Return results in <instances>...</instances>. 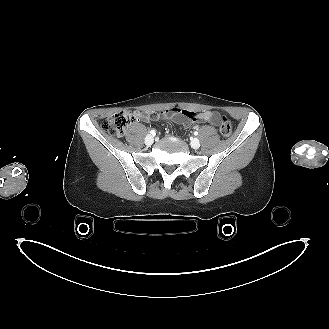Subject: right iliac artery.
<instances>
[{
	"instance_id": "right-iliac-artery-1",
	"label": "right iliac artery",
	"mask_w": 329,
	"mask_h": 329,
	"mask_svg": "<svg viewBox=\"0 0 329 329\" xmlns=\"http://www.w3.org/2000/svg\"><path fill=\"white\" fill-rule=\"evenodd\" d=\"M150 133H151L152 135H156V131H155V130H151Z\"/></svg>"
}]
</instances>
